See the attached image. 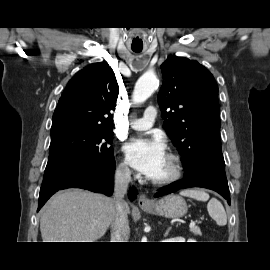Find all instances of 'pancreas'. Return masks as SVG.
<instances>
[{"label":"pancreas","instance_id":"pancreas-1","mask_svg":"<svg viewBox=\"0 0 270 270\" xmlns=\"http://www.w3.org/2000/svg\"><path fill=\"white\" fill-rule=\"evenodd\" d=\"M190 231L192 233H194L195 235H201V230L198 226H194V227L190 228Z\"/></svg>","mask_w":270,"mask_h":270}]
</instances>
